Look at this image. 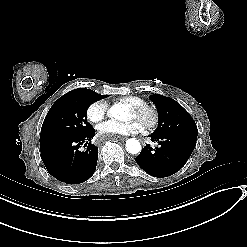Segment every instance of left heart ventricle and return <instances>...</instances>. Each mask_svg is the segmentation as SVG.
Returning a JSON list of instances; mask_svg holds the SVG:
<instances>
[{
	"mask_svg": "<svg viewBox=\"0 0 247 247\" xmlns=\"http://www.w3.org/2000/svg\"><path fill=\"white\" fill-rule=\"evenodd\" d=\"M137 117V120L139 124L143 127H147L150 122V115L148 112L143 113L141 116H136L135 113H133L130 110V120L135 119Z\"/></svg>",
	"mask_w": 247,
	"mask_h": 247,
	"instance_id": "b2bd125f",
	"label": "left heart ventricle"
}]
</instances>
